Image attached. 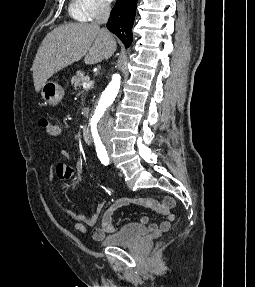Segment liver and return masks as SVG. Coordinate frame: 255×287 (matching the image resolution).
I'll return each mask as SVG.
<instances>
[{
    "instance_id": "6515ba94",
    "label": "liver",
    "mask_w": 255,
    "mask_h": 287,
    "mask_svg": "<svg viewBox=\"0 0 255 287\" xmlns=\"http://www.w3.org/2000/svg\"><path fill=\"white\" fill-rule=\"evenodd\" d=\"M117 44L108 30L99 24H63L44 38L33 62L36 92L59 70L84 58L85 64H98L116 52Z\"/></svg>"
}]
</instances>
